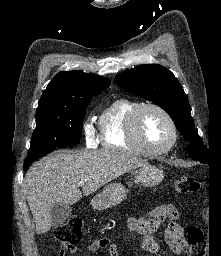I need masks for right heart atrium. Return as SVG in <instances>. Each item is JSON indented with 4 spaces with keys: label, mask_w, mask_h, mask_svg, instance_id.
Segmentation results:
<instances>
[{
    "label": "right heart atrium",
    "mask_w": 221,
    "mask_h": 256,
    "mask_svg": "<svg viewBox=\"0 0 221 256\" xmlns=\"http://www.w3.org/2000/svg\"><path fill=\"white\" fill-rule=\"evenodd\" d=\"M83 133L85 137L86 144L89 146H94L97 141V134L93 124L90 119H87L83 124Z\"/></svg>",
    "instance_id": "obj_1"
}]
</instances>
